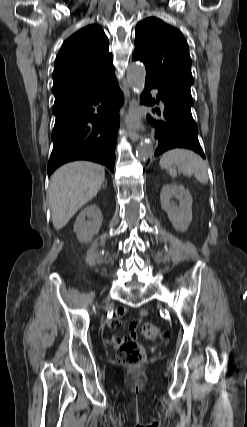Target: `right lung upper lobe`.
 Segmentation results:
<instances>
[{
    "mask_svg": "<svg viewBox=\"0 0 247 427\" xmlns=\"http://www.w3.org/2000/svg\"><path fill=\"white\" fill-rule=\"evenodd\" d=\"M109 41L92 24L67 39L55 60L53 94L55 103L95 92L115 80Z\"/></svg>",
    "mask_w": 247,
    "mask_h": 427,
    "instance_id": "cb5924a9",
    "label": "right lung upper lobe"
}]
</instances>
